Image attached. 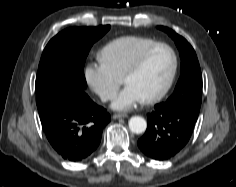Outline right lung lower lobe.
<instances>
[{"mask_svg":"<svg viewBox=\"0 0 236 187\" xmlns=\"http://www.w3.org/2000/svg\"><path fill=\"white\" fill-rule=\"evenodd\" d=\"M43 130L65 160L79 162L98 147L103 128L111 118L81 90L59 89L38 109Z\"/></svg>","mask_w":236,"mask_h":187,"instance_id":"right-lung-lower-lobe-1","label":"right lung lower lobe"}]
</instances>
